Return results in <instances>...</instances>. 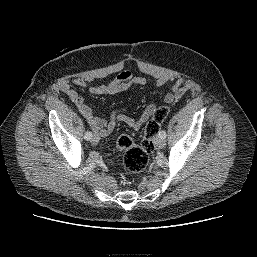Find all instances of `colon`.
I'll return each instance as SVG.
<instances>
[{"mask_svg":"<svg viewBox=\"0 0 257 257\" xmlns=\"http://www.w3.org/2000/svg\"><path fill=\"white\" fill-rule=\"evenodd\" d=\"M167 115L168 109L164 106L154 111L151 119L145 126L144 139L141 146L137 145L128 134H123L118 138L117 148L124 153V166L129 172L138 174L145 169L149 154L154 148V137Z\"/></svg>","mask_w":257,"mask_h":257,"instance_id":"colon-1","label":"colon"}]
</instances>
